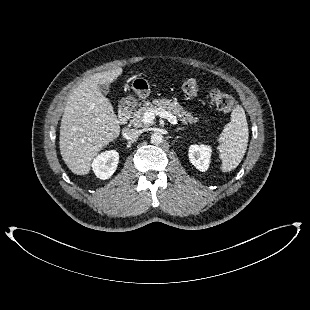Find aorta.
<instances>
[{"label":"aorta","mask_w":310,"mask_h":310,"mask_svg":"<svg viewBox=\"0 0 310 310\" xmlns=\"http://www.w3.org/2000/svg\"><path fill=\"white\" fill-rule=\"evenodd\" d=\"M151 142L155 145L161 144L163 142L162 134L155 132L151 135Z\"/></svg>","instance_id":"1"}]
</instances>
